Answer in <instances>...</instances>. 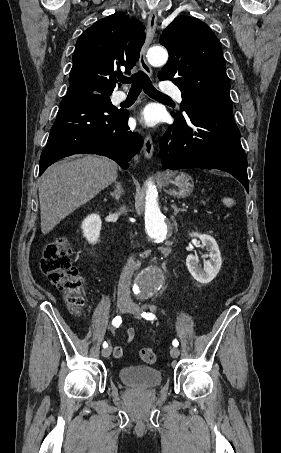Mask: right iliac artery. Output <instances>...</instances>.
<instances>
[{"instance_id": "obj_1", "label": "right iliac artery", "mask_w": 281, "mask_h": 453, "mask_svg": "<svg viewBox=\"0 0 281 453\" xmlns=\"http://www.w3.org/2000/svg\"><path fill=\"white\" fill-rule=\"evenodd\" d=\"M121 323H122V320H121L120 316H116L112 321V325L116 326L117 328L120 326ZM103 347L104 348L108 347V344L106 343V341L103 343Z\"/></svg>"}]
</instances>
